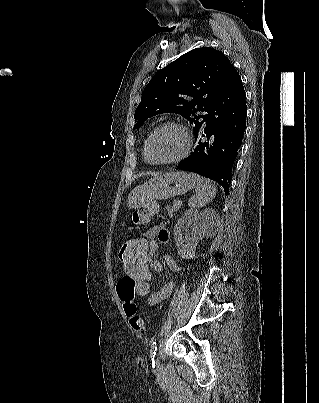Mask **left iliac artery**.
Instances as JSON below:
<instances>
[{"label":"left iliac artery","instance_id":"44dca946","mask_svg":"<svg viewBox=\"0 0 319 403\" xmlns=\"http://www.w3.org/2000/svg\"><path fill=\"white\" fill-rule=\"evenodd\" d=\"M156 350H157V342L153 341L151 344V348H150V357H151V361H152V367L155 368V355H156Z\"/></svg>","mask_w":319,"mask_h":403}]
</instances>
